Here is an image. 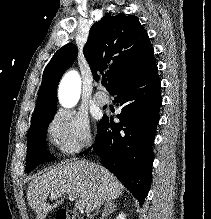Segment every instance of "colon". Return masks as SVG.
Listing matches in <instances>:
<instances>
[{"label":"colon","mask_w":211,"mask_h":219,"mask_svg":"<svg viewBox=\"0 0 211 219\" xmlns=\"http://www.w3.org/2000/svg\"><path fill=\"white\" fill-rule=\"evenodd\" d=\"M69 217L70 213L65 210H61L57 213V219H69Z\"/></svg>","instance_id":"obj_1"}]
</instances>
